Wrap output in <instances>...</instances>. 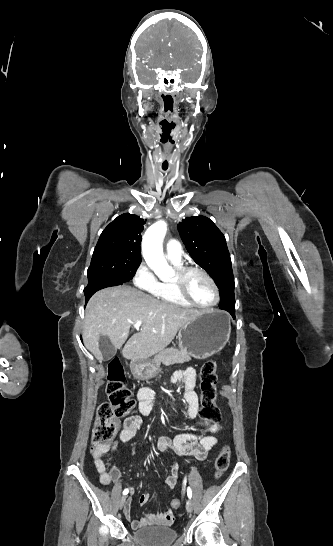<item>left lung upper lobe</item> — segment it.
<instances>
[{"label": "left lung upper lobe", "instance_id": "left-lung-upper-lobe-1", "mask_svg": "<svg viewBox=\"0 0 333 546\" xmlns=\"http://www.w3.org/2000/svg\"><path fill=\"white\" fill-rule=\"evenodd\" d=\"M177 226L193 260L216 282L220 309L235 313L234 276L224 235L205 216L187 217Z\"/></svg>", "mask_w": 333, "mask_h": 546}]
</instances>
